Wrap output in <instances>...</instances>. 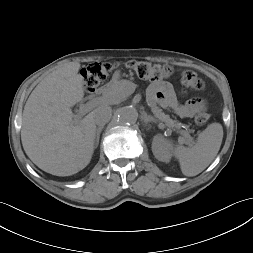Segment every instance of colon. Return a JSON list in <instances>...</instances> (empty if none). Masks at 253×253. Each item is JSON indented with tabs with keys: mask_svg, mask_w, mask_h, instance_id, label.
I'll return each instance as SVG.
<instances>
[{
	"mask_svg": "<svg viewBox=\"0 0 253 253\" xmlns=\"http://www.w3.org/2000/svg\"><path fill=\"white\" fill-rule=\"evenodd\" d=\"M125 67L133 70L140 78L159 81L171 77L175 70L166 64H153L147 61L130 60L125 63ZM116 68V64L100 62L90 64L81 70L84 80V87L88 93L95 91ZM183 86L191 91L198 92L205 88L204 80L192 70H183L180 73ZM209 119V114L205 110H200L194 115V123L198 126L204 125Z\"/></svg>",
	"mask_w": 253,
	"mask_h": 253,
	"instance_id": "obj_1",
	"label": "colon"
}]
</instances>
